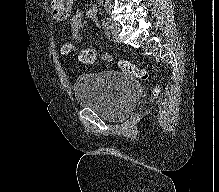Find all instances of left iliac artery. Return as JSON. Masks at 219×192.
Masks as SVG:
<instances>
[{"label": "left iliac artery", "instance_id": "1", "mask_svg": "<svg viewBox=\"0 0 219 192\" xmlns=\"http://www.w3.org/2000/svg\"><path fill=\"white\" fill-rule=\"evenodd\" d=\"M100 14L102 15V13L100 12ZM102 26H103V29L104 31L109 34L110 33V28H109V25H108V22H105V20L102 18Z\"/></svg>", "mask_w": 219, "mask_h": 192}]
</instances>
